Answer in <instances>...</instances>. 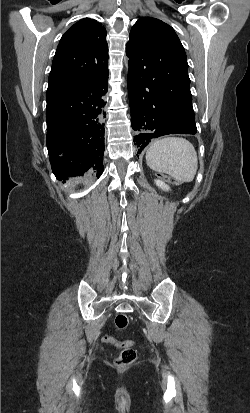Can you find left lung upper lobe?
<instances>
[{"label":"left lung upper lobe","mask_w":250,"mask_h":413,"mask_svg":"<svg viewBox=\"0 0 250 413\" xmlns=\"http://www.w3.org/2000/svg\"><path fill=\"white\" fill-rule=\"evenodd\" d=\"M152 40L151 67L176 77H188L185 50L172 27L152 17L140 18L130 31L126 51Z\"/></svg>","instance_id":"left-lung-upper-lobe-1"}]
</instances>
